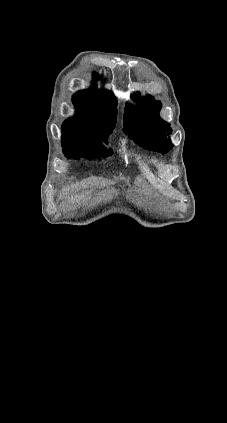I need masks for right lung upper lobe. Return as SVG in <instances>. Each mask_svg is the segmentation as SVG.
Returning a JSON list of instances; mask_svg holds the SVG:
<instances>
[{
	"mask_svg": "<svg viewBox=\"0 0 227 423\" xmlns=\"http://www.w3.org/2000/svg\"><path fill=\"white\" fill-rule=\"evenodd\" d=\"M76 114L63 123L62 142H87L106 139L117 119L116 99L108 90L95 87L73 96Z\"/></svg>",
	"mask_w": 227,
	"mask_h": 423,
	"instance_id": "right-lung-upper-lobe-1",
	"label": "right lung upper lobe"
}]
</instances>
